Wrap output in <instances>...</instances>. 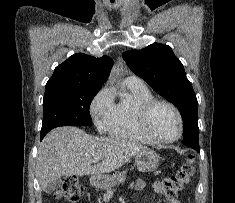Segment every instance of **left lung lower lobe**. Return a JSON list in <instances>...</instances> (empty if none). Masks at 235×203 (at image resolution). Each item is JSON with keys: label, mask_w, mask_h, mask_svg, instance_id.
Returning <instances> with one entry per match:
<instances>
[{"label": "left lung lower lobe", "mask_w": 235, "mask_h": 203, "mask_svg": "<svg viewBox=\"0 0 235 203\" xmlns=\"http://www.w3.org/2000/svg\"><path fill=\"white\" fill-rule=\"evenodd\" d=\"M193 133L191 131H184L183 132V144H185L186 146H189V147H195V150L199 151V147L195 146L193 144ZM194 149V148H193Z\"/></svg>", "instance_id": "obj_1"}]
</instances>
